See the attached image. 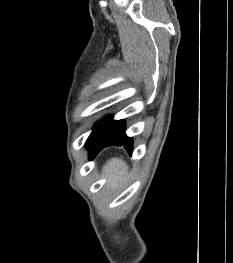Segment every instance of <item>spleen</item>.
Segmentation results:
<instances>
[{
    "label": "spleen",
    "mask_w": 233,
    "mask_h": 263,
    "mask_svg": "<svg viewBox=\"0 0 233 263\" xmlns=\"http://www.w3.org/2000/svg\"><path fill=\"white\" fill-rule=\"evenodd\" d=\"M103 176H109L108 184H119L124 182L128 176V166L120 158H112L103 167Z\"/></svg>",
    "instance_id": "spleen-1"
}]
</instances>
